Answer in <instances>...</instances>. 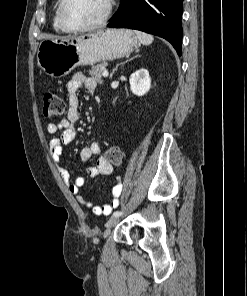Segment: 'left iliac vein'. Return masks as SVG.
Here are the masks:
<instances>
[{
	"mask_svg": "<svg viewBox=\"0 0 247 296\" xmlns=\"http://www.w3.org/2000/svg\"><path fill=\"white\" fill-rule=\"evenodd\" d=\"M119 220H120V216H113V217H111L107 221L106 227L109 228V229L110 228H113L119 222Z\"/></svg>",
	"mask_w": 247,
	"mask_h": 296,
	"instance_id": "1",
	"label": "left iliac vein"
}]
</instances>
